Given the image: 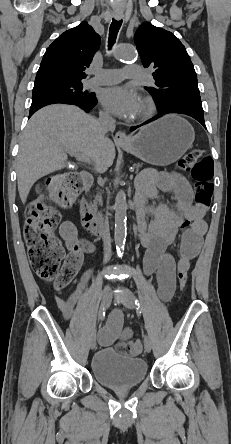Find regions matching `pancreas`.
<instances>
[{"mask_svg":"<svg viewBox=\"0 0 231 444\" xmlns=\"http://www.w3.org/2000/svg\"><path fill=\"white\" fill-rule=\"evenodd\" d=\"M133 166H134L137 170H139L140 168H142L143 164H142V163H135ZM97 200H98V201H101V196H100V195L97 196Z\"/></svg>","mask_w":231,"mask_h":444,"instance_id":"obj_1","label":"pancreas"}]
</instances>
